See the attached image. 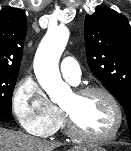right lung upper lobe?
Returning <instances> with one entry per match:
<instances>
[{"instance_id":"cb5924a9","label":"right lung upper lobe","mask_w":131,"mask_h":151,"mask_svg":"<svg viewBox=\"0 0 131 151\" xmlns=\"http://www.w3.org/2000/svg\"><path fill=\"white\" fill-rule=\"evenodd\" d=\"M26 32L23 11L12 7L0 11V71H19Z\"/></svg>"}]
</instances>
